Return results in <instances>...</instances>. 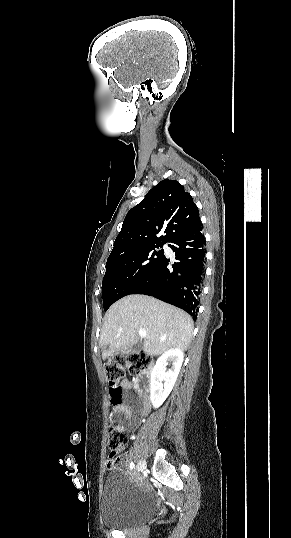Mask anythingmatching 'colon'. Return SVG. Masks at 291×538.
I'll return each instance as SVG.
<instances>
[{"label": "colon", "mask_w": 291, "mask_h": 538, "mask_svg": "<svg viewBox=\"0 0 291 538\" xmlns=\"http://www.w3.org/2000/svg\"><path fill=\"white\" fill-rule=\"evenodd\" d=\"M152 363L151 357L144 352H133L129 355L123 353L112 354L105 364V375L109 384L111 403L117 404L121 400V380L126 372L132 375L145 374L149 371L147 365ZM127 437L126 428L118 421H112L109 425L108 447L110 455L107 462L108 469H116L119 466L118 451Z\"/></svg>", "instance_id": "obj_1"}]
</instances>
